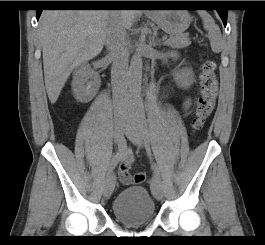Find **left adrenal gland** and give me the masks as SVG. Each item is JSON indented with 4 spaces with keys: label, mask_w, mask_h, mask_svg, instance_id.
Listing matches in <instances>:
<instances>
[{
    "label": "left adrenal gland",
    "mask_w": 265,
    "mask_h": 245,
    "mask_svg": "<svg viewBox=\"0 0 265 245\" xmlns=\"http://www.w3.org/2000/svg\"><path fill=\"white\" fill-rule=\"evenodd\" d=\"M152 45H153L154 47H160V46H161V42H160V41H157V40H154V37H153Z\"/></svg>",
    "instance_id": "left-adrenal-gland-1"
}]
</instances>
